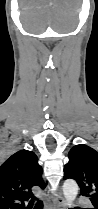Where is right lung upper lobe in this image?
Returning a JSON list of instances; mask_svg holds the SVG:
<instances>
[{
	"label": "right lung upper lobe",
	"mask_w": 98,
	"mask_h": 209,
	"mask_svg": "<svg viewBox=\"0 0 98 209\" xmlns=\"http://www.w3.org/2000/svg\"><path fill=\"white\" fill-rule=\"evenodd\" d=\"M36 186H46L37 156L28 150L16 152L0 166V209H31Z\"/></svg>",
	"instance_id": "cb5924a9"
}]
</instances>
